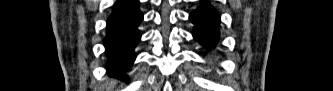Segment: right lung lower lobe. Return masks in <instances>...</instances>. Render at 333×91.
Masks as SVG:
<instances>
[{
    "label": "right lung lower lobe",
    "mask_w": 333,
    "mask_h": 91,
    "mask_svg": "<svg viewBox=\"0 0 333 91\" xmlns=\"http://www.w3.org/2000/svg\"><path fill=\"white\" fill-rule=\"evenodd\" d=\"M138 0H118L107 20V35L104 46L108 57L107 71L126 79L125 71L136 56L134 48L141 35L137 29L143 20Z\"/></svg>",
    "instance_id": "1"
}]
</instances>
